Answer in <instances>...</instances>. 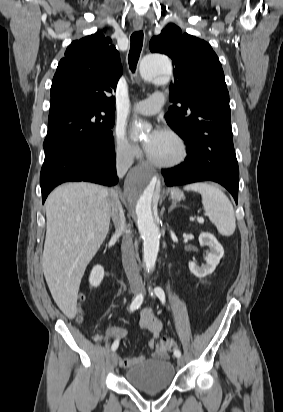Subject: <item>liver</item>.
I'll use <instances>...</instances> for the list:
<instances>
[{"label":"liver","mask_w":283,"mask_h":412,"mask_svg":"<svg viewBox=\"0 0 283 412\" xmlns=\"http://www.w3.org/2000/svg\"><path fill=\"white\" fill-rule=\"evenodd\" d=\"M110 190L90 183H67L46 200L42 268L54 301L72 319L85 269L109 231Z\"/></svg>","instance_id":"6515ba94"}]
</instances>
